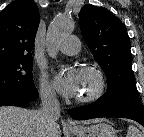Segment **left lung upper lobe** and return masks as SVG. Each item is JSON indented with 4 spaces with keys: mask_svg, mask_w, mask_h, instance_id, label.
I'll use <instances>...</instances> for the list:
<instances>
[{
    "mask_svg": "<svg viewBox=\"0 0 144 137\" xmlns=\"http://www.w3.org/2000/svg\"><path fill=\"white\" fill-rule=\"evenodd\" d=\"M79 21L85 42L107 76L108 90L101 100L139 101L125 25L106 8L91 4L81 9Z\"/></svg>",
    "mask_w": 144,
    "mask_h": 137,
    "instance_id": "obj_1",
    "label": "left lung upper lobe"
}]
</instances>
